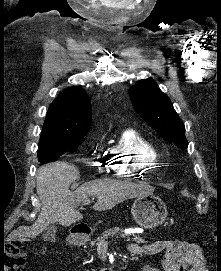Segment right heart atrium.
Masks as SVG:
<instances>
[{"mask_svg":"<svg viewBox=\"0 0 221 271\" xmlns=\"http://www.w3.org/2000/svg\"><path fill=\"white\" fill-rule=\"evenodd\" d=\"M113 155L118 154H111L110 151H97V161L102 162L100 165H97V170H102V173H114V171H109L108 167L111 165H105L110 164L113 160Z\"/></svg>","mask_w":221,"mask_h":271,"instance_id":"right-heart-atrium-1","label":"right heart atrium"}]
</instances>
